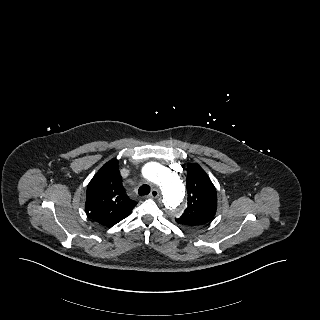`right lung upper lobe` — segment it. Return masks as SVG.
I'll use <instances>...</instances> for the list:
<instances>
[{
	"mask_svg": "<svg viewBox=\"0 0 320 320\" xmlns=\"http://www.w3.org/2000/svg\"><path fill=\"white\" fill-rule=\"evenodd\" d=\"M137 202L131 200L121 184L118 160L108 161L87 186L85 211L89 218L112 227L126 218Z\"/></svg>",
	"mask_w": 320,
	"mask_h": 320,
	"instance_id": "right-lung-upper-lobe-1",
	"label": "right lung upper lobe"
}]
</instances>
